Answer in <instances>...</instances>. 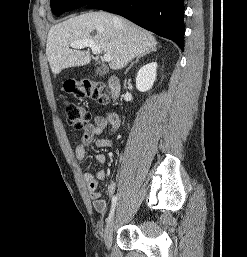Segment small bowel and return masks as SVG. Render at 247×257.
Masks as SVG:
<instances>
[{"label":"small bowel","instance_id":"c3829d8e","mask_svg":"<svg viewBox=\"0 0 247 257\" xmlns=\"http://www.w3.org/2000/svg\"><path fill=\"white\" fill-rule=\"evenodd\" d=\"M119 124V116L116 113H108L104 117H97L94 123L84 127L83 134L75 146V156L81 166L86 162V146L90 145L97 136L102 135L105 131L112 133ZM94 144L96 148H105L111 145V141L103 137L97 139ZM96 160L99 164H105L107 159L104 154H98ZM105 177L106 173L104 170H98L95 174L87 172L83 175L93 202V207L101 214L106 213L108 209V202L106 199L102 198L99 190V181L104 180ZM115 192L116 183L110 181L107 185V193L113 197Z\"/></svg>","mask_w":247,"mask_h":257}]
</instances>
